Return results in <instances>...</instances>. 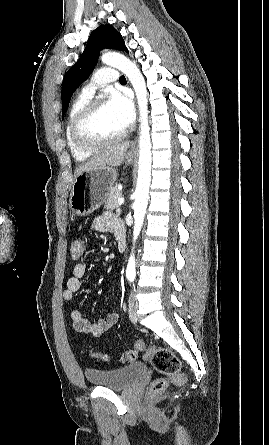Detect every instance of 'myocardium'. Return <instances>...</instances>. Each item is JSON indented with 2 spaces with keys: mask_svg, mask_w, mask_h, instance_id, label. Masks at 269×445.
I'll list each match as a JSON object with an SVG mask.
<instances>
[{
  "mask_svg": "<svg viewBox=\"0 0 269 445\" xmlns=\"http://www.w3.org/2000/svg\"><path fill=\"white\" fill-rule=\"evenodd\" d=\"M105 103L107 102L102 98L91 99L74 117L71 124V138L80 149L96 151L103 146L118 142L126 136L127 129L109 137H93L86 132L88 123Z\"/></svg>",
  "mask_w": 269,
  "mask_h": 445,
  "instance_id": "obj_1",
  "label": "myocardium"
}]
</instances>
